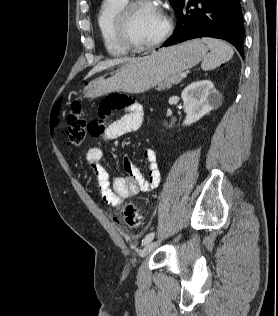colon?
<instances>
[{
  "label": "colon",
  "instance_id": "5ec220e1",
  "mask_svg": "<svg viewBox=\"0 0 278 316\" xmlns=\"http://www.w3.org/2000/svg\"><path fill=\"white\" fill-rule=\"evenodd\" d=\"M87 132L91 135L98 134L99 130L88 124L82 106L79 102L72 105V110L67 118L66 135L70 146H80ZM124 223L130 228H138L142 225L143 218L134 204H128L122 213Z\"/></svg>",
  "mask_w": 278,
  "mask_h": 316
}]
</instances>
